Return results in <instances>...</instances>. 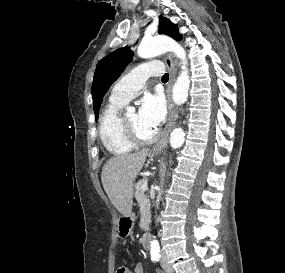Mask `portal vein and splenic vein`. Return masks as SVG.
Returning <instances> with one entry per match:
<instances>
[{"label": "portal vein and splenic vein", "mask_w": 285, "mask_h": 273, "mask_svg": "<svg viewBox=\"0 0 285 273\" xmlns=\"http://www.w3.org/2000/svg\"><path fill=\"white\" fill-rule=\"evenodd\" d=\"M142 190H144V191L148 190L147 182H145V183L142 185Z\"/></svg>", "instance_id": "18ae733b"}]
</instances>
